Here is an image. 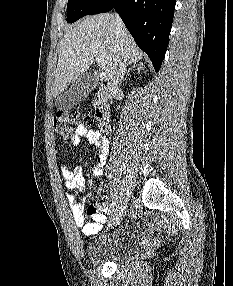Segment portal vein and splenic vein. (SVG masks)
Returning a JSON list of instances; mask_svg holds the SVG:
<instances>
[{"label": "portal vein and splenic vein", "instance_id": "obj_1", "mask_svg": "<svg viewBox=\"0 0 233 286\" xmlns=\"http://www.w3.org/2000/svg\"><path fill=\"white\" fill-rule=\"evenodd\" d=\"M96 62H97V65L100 68H104L105 67V61L103 59H97Z\"/></svg>", "mask_w": 233, "mask_h": 286}]
</instances>
